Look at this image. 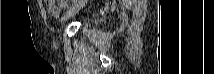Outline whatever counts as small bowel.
Segmentation results:
<instances>
[{
	"label": "small bowel",
	"mask_w": 214,
	"mask_h": 74,
	"mask_svg": "<svg viewBox=\"0 0 214 74\" xmlns=\"http://www.w3.org/2000/svg\"><path fill=\"white\" fill-rule=\"evenodd\" d=\"M62 7H63V5H60V6L50 5V6H48V12L53 16H58L60 9Z\"/></svg>",
	"instance_id": "small-bowel-1"
}]
</instances>
